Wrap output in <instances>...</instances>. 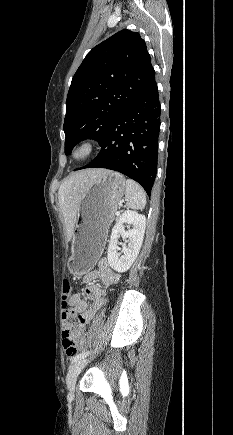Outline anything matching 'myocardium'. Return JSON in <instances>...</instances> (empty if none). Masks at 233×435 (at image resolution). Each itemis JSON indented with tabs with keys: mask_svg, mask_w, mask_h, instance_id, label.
Instances as JSON below:
<instances>
[{
	"mask_svg": "<svg viewBox=\"0 0 233 435\" xmlns=\"http://www.w3.org/2000/svg\"><path fill=\"white\" fill-rule=\"evenodd\" d=\"M94 142L91 139H84L77 144L71 152V157L77 162H83L87 160L93 153Z\"/></svg>",
	"mask_w": 233,
	"mask_h": 435,
	"instance_id": "obj_1",
	"label": "myocardium"
}]
</instances>
